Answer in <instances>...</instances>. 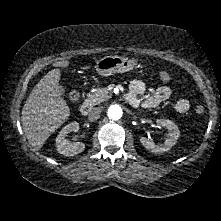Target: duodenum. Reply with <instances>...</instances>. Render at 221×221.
I'll return each instance as SVG.
<instances>
[{
	"instance_id": "1",
	"label": "duodenum",
	"mask_w": 221,
	"mask_h": 221,
	"mask_svg": "<svg viewBox=\"0 0 221 221\" xmlns=\"http://www.w3.org/2000/svg\"><path fill=\"white\" fill-rule=\"evenodd\" d=\"M125 99L129 103H132L134 101L133 98L129 94L125 96ZM90 110H91V105L88 102L82 104L80 107V112L83 115H87L90 112Z\"/></svg>"
}]
</instances>
